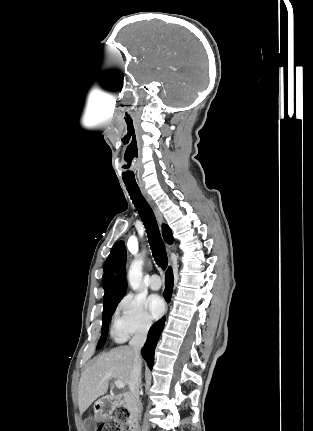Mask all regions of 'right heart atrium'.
Returning <instances> with one entry per match:
<instances>
[{
	"mask_svg": "<svg viewBox=\"0 0 313 431\" xmlns=\"http://www.w3.org/2000/svg\"><path fill=\"white\" fill-rule=\"evenodd\" d=\"M153 320L142 299L128 294L119 302L113 320V333L118 339L131 335H145Z\"/></svg>",
	"mask_w": 313,
	"mask_h": 431,
	"instance_id": "right-heart-atrium-1",
	"label": "right heart atrium"
}]
</instances>
